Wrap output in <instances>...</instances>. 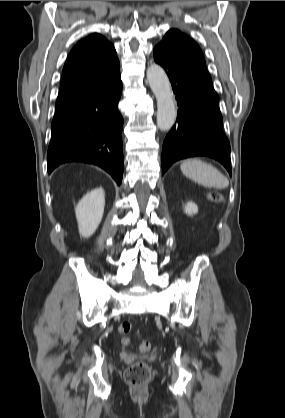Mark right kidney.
Listing matches in <instances>:
<instances>
[{
    "label": "right kidney",
    "instance_id": "right-kidney-1",
    "mask_svg": "<svg viewBox=\"0 0 285 418\" xmlns=\"http://www.w3.org/2000/svg\"><path fill=\"white\" fill-rule=\"evenodd\" d=\"M105 192L102 187L87 193L75 209L79 233L90 237L98 228L104 213Z\"/></svg>",
    "mask_w": 285,
    "mask_h": 418
}]
</instances>
